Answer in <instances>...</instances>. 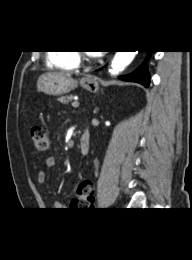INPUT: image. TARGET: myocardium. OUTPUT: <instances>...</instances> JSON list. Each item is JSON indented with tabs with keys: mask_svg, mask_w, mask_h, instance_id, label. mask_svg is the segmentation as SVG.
Segmentation results:
<instances>
[{
	"mask_svg": "<svg viewBox=\"0 0 192 260\" xmlns=\"http://www.w3.org/2000/svg\"><path fill=\"white\" fill-rule=\"evenodd\" d=\"M77 55L79 57H81L82 59H84L85 61H92L94 59V55L89 54L87 52L79 51V52H77Z\"/></svg>",
	"mask_w": 192,
	"mask_h": 260,
	"instance_id": "1",
	"label": "myocardium"
}]
</instances>
